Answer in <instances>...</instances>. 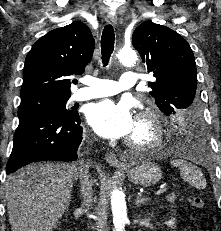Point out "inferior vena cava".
Here are the masks:
<instances>
[{"label":"inferior vena cava","mask_w":221,"mask_h":231,"mask_svg":"<svg viewBox=\"0 0 221 231\" xmlns=\"http://www.w3.org/2000/svg\"><path fill=\"white\" fill-rule=\"evenodd\" d=\"M78 177L80 180V191L82 195V210H86V207H90L92 205V180L90 179V175L88 174V166L83 165L78 168Z\"/></svg>","instance_id":"1"}]
</instances>
